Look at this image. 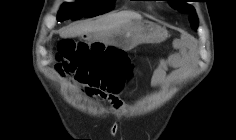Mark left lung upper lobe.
Here are the masks:
<instances>
[{
    "instance_id": "left-lung-upper-lobe-1",
    "label": "left lung upper lobe",
    "mask_w": 236,
    "mask_h": 140,
    "mask_svg": "<svg viewBox=\"0 0 236 140\" xmlns=\"http://www.w3.org/2000/svg\"><path fill=\"white\" fill-rule=\"evenodd\" d=\"M169 4L181 13L189 14V20L193 29L198 27V18L195 9L186 3V0H168Z\"/></svg>"
}]
</instances>
